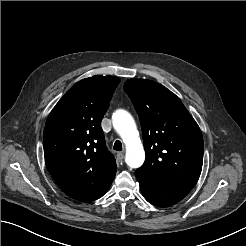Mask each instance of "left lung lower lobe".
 <instances>
[{
	"label": "left lung lower lobe",
	"instance_id": "1",
	"mask_svg": "<svg viewBox=\"0 0 246 246\" xmlns=\"http://www.w3.org/2000/svg\"><path fill=\"white\" fill-rule=\"evenodd\" d=\"M145 199L158 207H168L182 200L191 189L167 183L135 172Z\"/></svg>",
	"mask_w": 246,
	"mask_h": 246
}]
</instances>
